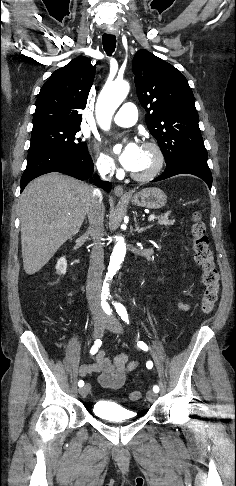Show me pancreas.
<instances>
[{"instance_id": "pancreas-1", "label": "pancreas", "mask_w": 236, "mask_h": 486, "mask_svg": "<svg viewBox=\"0 0 236 486\" xmlns=\"http://www.w3.org/2000/svg\"><path fill=\"white\" fill-rule=\"evenodd\" d=\"M158 224L160 225H165V226H168V225H173L174 224V220H169V214L168 213H165L161 216H158Z\"/></svg>"}]
</instances>
